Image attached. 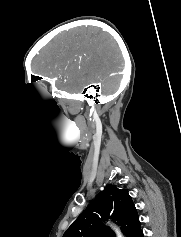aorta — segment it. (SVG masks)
I'll return each instance as SVG.
<instances>
[{"instance_id":"aorta-1","label":"aorta","mask_w":181,"mask_h":237,"mask_svg":"<svg viewBox=\"0 0 181 237\" xmlns=\"http://www.w3.org/2000/svg\"><path fill=\"white\" fill-rule=\"evenodd\" d=\"M116 234H117V237H123L117 229H116Z\"/></svg>"}]
</instances>
